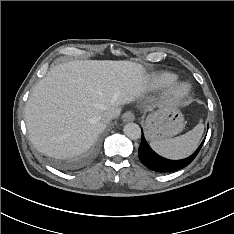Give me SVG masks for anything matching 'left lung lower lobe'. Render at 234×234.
I'll return each instance as SVG.
<instances>
[{"label":"left lung lower lobe","instance_id":"1","mask_svg":"<svg viewBox=\"0 0 234 234\" xmlns=\"http://www.w3.org/2000/svg\"><path fill=\"white\" fill-rule=\"evenodd\" d=\"M204 141L205 139L198 147V149L188 158L182 160H169L156 154L147 144L142 134L141 144L138 149V156L141 162L151 170H154L156 172H173L189 165L199 153Z\"/></svg>","mask_w":234,"mask_h":234}]
</instances>
